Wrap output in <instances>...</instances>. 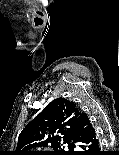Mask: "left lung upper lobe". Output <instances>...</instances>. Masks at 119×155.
<instances>
[{
  "mask_svg": "<svg viewBox=\"0 0 119 155\" xmlns=\"http://www.w3.org/2000/svg\"><path fill=\"white\" fill-rule=\"evenodd\" d=\"M80 113L65 98L53 100L20 133L14 155H76L74 136Z\"/></svg>",
  "mask_w": 119,
  "mask_h": 155,
  "instance_id": "5c2ea615",
  "label": "left lung upper lobe"
}]
</instances>
